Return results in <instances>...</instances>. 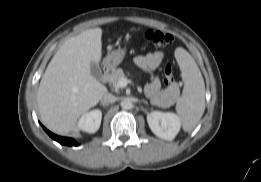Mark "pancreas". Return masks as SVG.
I'll return each instance as SVG.
<instances>
[{"mask_svg":"<svg viewBox=\"0 0 261 182\" xmlns=\"http://www.w3.org/2000/svg\"><path fill=\"white\" fill-rule=\"evenodd\" d=\"M121 78H125V74L121 68H118L109 75L108 81L114 87H116L118 81ZM176 99H177L176 93L169 90H165L162 91L157 98L151 99V103L156 105H161V106H169L173 104Z\"/></svg>","mask_w":261,"mask_h":182,"instance_id":"obj_1","label":"pancreas"}]
</instances>
